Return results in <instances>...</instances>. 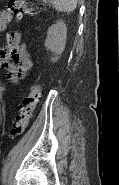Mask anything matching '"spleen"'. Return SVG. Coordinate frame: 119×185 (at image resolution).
<instances>
[{"instance_id":"obj_1","label":"spleen","mask_w":119,"mask_h":185,"mask_svg":"<svg viewBox=\"0 0 119 185\" xmlns=\"http://www.w3.org/2000/svg\"><path fill=\"white\" fill-rule=\"evenodd\" d=\"M50 2L53 7L60 12H72L77 7V0H43Z\"/></svg>"}]
</instances>
